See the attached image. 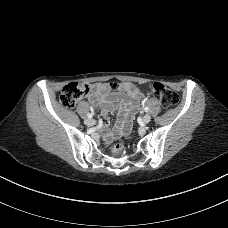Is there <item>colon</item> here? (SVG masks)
<instances>
[{"mask_svg": "<svg viewBox=\"0 0 228 228\" xmlns=\"http://www.w3.org/2000/svg\"><path fill=\"white\" fill-rule=\"evenodd\" d=\"M110 88L116 90L117 84L111 83ZM130 89L131 86L129 84H124L125 91ZM90 90L91 87L88 84L78 82L70 83L62 89L60 102L65 107L71 108L77 103V101L87 96ZM149 92L152 96L156 97L165 108L176 105L179 100L177 93L162 83H153L149 88ZM123 149V144L117 143L112 148V154L118 156L122 153Z\"/></svg>", "mask_w": 228, "mask_h": 228, "instance_id": "1", "label": "colon"}]
</instances>
